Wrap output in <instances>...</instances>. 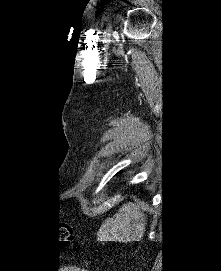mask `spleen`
I'll return each instance as SVG.
<instances>
[{
    "instance_id": "spleen-1",
    "label": "spleen",
    "mask_w": 221,
    "mask_h": 271,
    "mask_svg": "<svg viewBox=\"0 0 221 271\" xmlns=\"http://www.w3.org/2000/svg\"><path fill=\"white\" fill-rule=\"evenodd\" d=\"M147 217L140 211V205L128 201L123 203L113 217H107L98 233L102 241H141L146 231Z\"/></svg>"
}]
</instances>
